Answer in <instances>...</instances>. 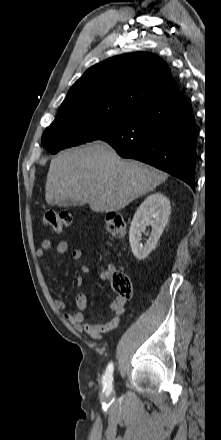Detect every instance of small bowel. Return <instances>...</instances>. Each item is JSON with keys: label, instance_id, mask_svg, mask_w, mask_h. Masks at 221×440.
<instances>
[{"label": "small bowel", "instance_id": "1", "mask_svg": "<svg viewBox=\"0 0 221 440\" xmlns=\"http://www.w3.org/2000/svg\"><path fill=\"white\" fill-rule=\"evenodd\" d=\"M53 242L51 240H45L42 243V247L36 251V256L38 258H44L47 252L52 248ZM69 245L66 241H60L56 244V251L58 254H64L67 252ZM82 251L80 249H73L71 252V257L75 261L82 259ZM90 269L86 265L80 267V275L76 278V286H81L84 282V278L88 275ZM64 289L61 288L55 295V305L59 310L65 311L67 309V304L63 300L62 296ZM75 303L77 306V311L74 313H64V318L67 322L72 324L77 331H85L90 338L99 340L102 335L114 328H116L120 322V318L124 313L126 299L116 297L110 304V311L113 313L111 320L105 323H95L86 320L85 311L87 308L88 300L85 293L80 292L75 297Z\"/></svg>", "mask_w": 221, "mask_h": 440}]
</instances>
